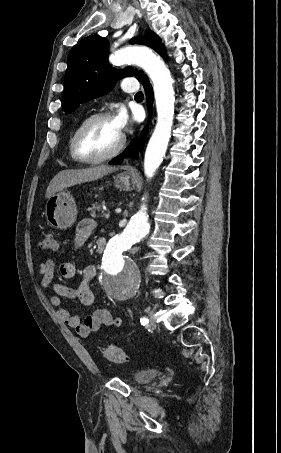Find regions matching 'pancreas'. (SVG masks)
Listing matches in <instances>:
<instances>
[{
  "instance_id": "cf45deb5",
  "label": "pancreas",
  "mask_w": 281,
  "mask_h": 453,
  "mask_svg": "<svg viewBox=\"0 0 281 453\" xmlns=\"http://www.w3.org/2000/svg\"><path fill=\"white\" fill-rule=\"evenodd\" d=\"M103 204L104 202H96V204H92V206H90V214L93 218H96V216H107V214H109V212H105V210H103Z\"/></svg>"
}]
</instances>
